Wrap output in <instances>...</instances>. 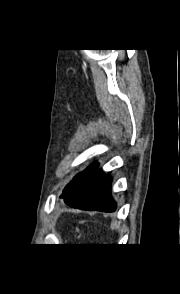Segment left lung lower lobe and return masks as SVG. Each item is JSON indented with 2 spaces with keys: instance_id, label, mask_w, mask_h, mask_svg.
I'll return each instance as SVG.
<instances>
[{
  "instance_id": "0a47b994",
  "label": "left lung lower lobe",
  "mask_w": 180,
  "mask_h": 294,
  "mask_svg": "<svg viewBox=\"0 0 180 294\" xmlns=\"http://www.w3.org/2000/svg\"><path fill=\"white\" fill-rule=\"evenodd\" d=\"M94 162L74 180L69 192L64 197L67 205L82 210L112 212L116 204L111 198V178L102 170H97Z\"/></svg>"
}]
</instances>
